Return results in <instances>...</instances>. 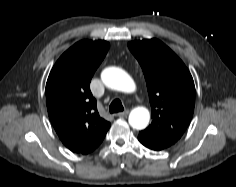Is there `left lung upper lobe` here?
Masks as SVG:
<instances>
[{"label": "left lung upper lobe", "mask_w": 236, "mask_h": 187, "mask_svg": "<svg viewBox=\"0 0 236 187\" xmlns=\"http://www.w3.org/2000/svg\"><path fill=\"white\" fill-rule=\"evenodd\" d=\"M128 47L142 67L153 117L139 134L172 145L193 116V78L181 59L157 39L129 42Z\"/></svg>", "instance_id": "5c2ea615"}]
</instances>
